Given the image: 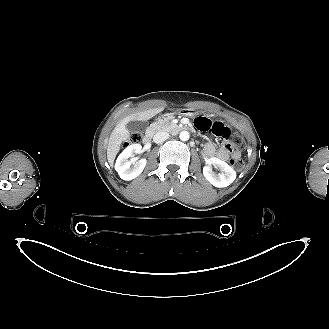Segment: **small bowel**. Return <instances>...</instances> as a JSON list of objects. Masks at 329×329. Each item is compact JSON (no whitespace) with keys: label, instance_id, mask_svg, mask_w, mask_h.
<instances>
[{"label":"small bowel","instance_id":"c3829d8e","mask_svg":"<svg viewBox=\"0 0 329 329\" xmlns=\"http://www.w3.org/2000/svg\"><path fill=\"white\" fill-rule=\"evenodd\" d=\"M192 125L202 132L213 133L218 139H221L223 145L219 148H216L213 143H207L205 145L204 153L208 157H216L222 161H226L229 158H240V152L233 150L227 145L231 141L232 128L230 126H226L224 123H220L213 118L209 119L205 116L194 117Z\"/></svg>","mask_w":329,"mask_h":329}]
</instances>
